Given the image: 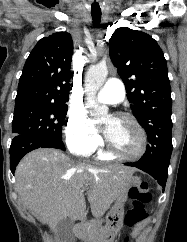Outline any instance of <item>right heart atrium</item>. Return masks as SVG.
<instances>
[{"instance_id":"d8ad5b80","label":"right heart atrium","mask_w":187,"mask_h":242,"mask_svg":"<svg viewBox=\"0 0 187 242\" xmlns=\"http://www.w3.org/2000/svg\"><path fill=\"white\" fill-rule=\"evenodd\" d=\"M66 145L71 152L89 156L102 143L89 118L82 112H71L65 126Z\"/></svg>"}]
</instances>
